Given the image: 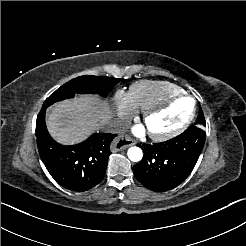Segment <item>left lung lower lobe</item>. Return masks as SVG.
<instances>
[{
  "label": "left lung lower lobe",
  "mask_w": 246,
  "mask_h": 246,
  "mask_svg": "<svg viewBox=\"0 0 246 246\" xmlns=\"http://www.w3.org/2000/svg\"><path fill=\"white\" fill-rule=\"evenodd\" d=\"M205 138V131L193 125L168 141L143 144L144 157L133 166L135 177L155 192L177 187L192 172Z\"/></svg>",
  "instance_id": "obj_1"
}]
</instances>
